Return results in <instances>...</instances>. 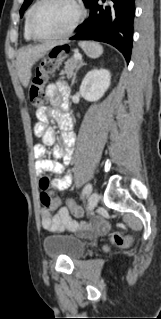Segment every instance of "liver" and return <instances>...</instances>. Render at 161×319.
Segmentation results:
<instances>
[{"mask_svg": "<svg viewBox=\"0 0 161 319\" xmlns=\"http://www.w3.org/2000/svg\"><path fill=\"white\" fill-rule=\"evenodd\" d=\"M53 46V43H44L19 49L17 54L18 75L24 87L29 84L32 75L31 68L34 63L42 58Z\"/></svg>", "mask_w": 161, "mask_h": 319, "instance_id": "6515ba94", "label": "liver"}]
</instances>
